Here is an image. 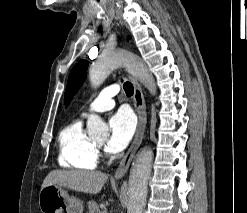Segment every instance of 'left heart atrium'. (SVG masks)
Listing matches in <instances>:
<instances>
[{"label":"left heart atrium","instance_id":"left-heart-atrium-1","mask_svg":"<svg viewBox=\"0 0 247 213\" xmlns=\"http://www.w3.org/2000/svg\"><path fill=\"white\" fill-rule=\"evenodd\" d=\"M110 137L106 144L107 151L118 153L126 148L131 141L136 121L133 114L127 110H119L109 120Z\"/></svg>","mask_w":247,"mask_h":213}]
</instances>
